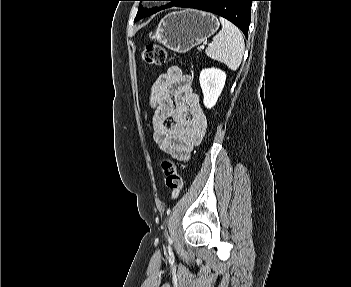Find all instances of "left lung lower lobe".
I'll use <instances>...</instances> for the list:
<instances>
[{
	"instance_id": "left-lung-lower-lobe-1",
	"label": "left lung lower lobe",
	"mask_w": 351,
	"mask_h": 287,
	"mask_svg": "<svg viewBox=\"0 0 351 287\" xmlns=\"http://www.w3.org/2000/svg\"><path fill=\"white\" fill-rule=\"evenodd\" d=\"M252 1L255 0H180L174 6L217 14L238 26L247 37Z\"/></svg>"
}]
</instances>
